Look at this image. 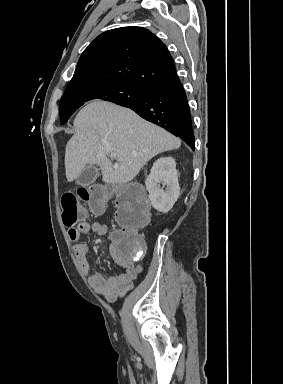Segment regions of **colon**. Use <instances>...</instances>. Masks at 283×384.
Returning <instances> with one entry per match:
<instances>
[{
  "label": "colon",
  "mask_w": 283,
  "mask_h": 384,
  "mask_svg": "<svg viewBox=\"0 0 283 384\" xmlns=\"http://www.w3.org/2000/svg\"><path fill=\"white\" fill-rule=\"evenodd\" d=\"M114 199L116 205L115 224L112 242L119 254L126 260L136 261L145 254V242L138 230L148 219V205L140 187L123 184L118 187L92 185L82 187L77 192L62 196L63 222L68 227L76 226L87 216V204L93 213H103L108 202Z\"/></svg>",
  "instance_id": "obj_1"
}]
</instances>
